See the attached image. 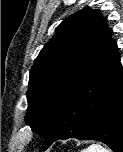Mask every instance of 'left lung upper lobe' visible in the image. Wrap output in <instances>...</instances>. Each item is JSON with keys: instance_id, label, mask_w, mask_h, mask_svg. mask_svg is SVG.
Masks as SVG:
<instances>
[{"instance_id": "1", "label": "left lung upper lobe", "mask_w": 123, "mask_h": 152, "mask_svg": "<svg viewBox=\"0 0 123 152\" xmlns=\"http://www.w3.org/2000/svg\"><path fill=\"white\" fill-rule=\"evenodd\" d=\"M110 41L98 10L84 8L64 19L30 70L26 120L45 138L58 106Z\"/></svg>"}]
</instances>
